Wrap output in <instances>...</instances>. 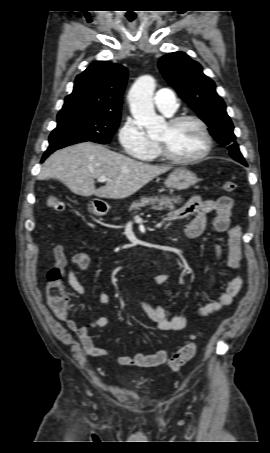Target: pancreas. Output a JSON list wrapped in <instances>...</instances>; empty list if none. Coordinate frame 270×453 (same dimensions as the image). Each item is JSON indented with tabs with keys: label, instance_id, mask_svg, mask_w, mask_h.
I'll return each instance as SVG.
<instances>
[{
	"label": "pancreas",
	"instance_id": "obj_1",
	"mask_svg": "<svg viewBox=\"0 0 270 453\" xmlns=\"http://www.w3.org/2000/svg\"><path fill=\"white\" fill-rule=\"evenodd\" d=\"M181 198L180 197H142L140 201H135L129 207V212L140 210L142 207L151 206L154 210H173L175 208V204H180ZM119 217L114 218V220H119Z\"/></svg>",
	"mask_w": 270,
	"mask_h": 453
}]
</instances>
